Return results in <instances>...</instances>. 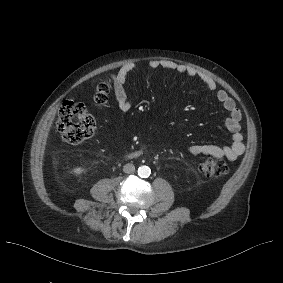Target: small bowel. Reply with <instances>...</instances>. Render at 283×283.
<instances>
[{
    "label": "small bowel",
    "mask_w": 283,
    "mask_h": 283,
    "mask_svg": "<svg viewBox=\"0 0 283 283\" xmlns=\"http://www.w3.org/2000/svg\"><path fill=\"white\" fill-rule=\"evenodd\" d=\"M149 67L151 69L163 68L185 74L190 77H198L211 92L215 93L217 101L227 111L226 127L232 133V141L229 145L218 146L212 144L206 145H192L187 148L188 153L191 155H208L215 158H226L235 160L243 154L245 145L243 143V135L241 133V111L237 107L234 99L224 90H218L216 82L210 76L198 72L192 67H187L182 64L175 63L170 60H150ZM137 71L135 63H129L122 66L116 74L112 76L114 94L119 109L127 112L132 107V101L128 94L127 79Z\"/></svg>",
    "instance_id": "c3829d8e"
}]
</instances>
